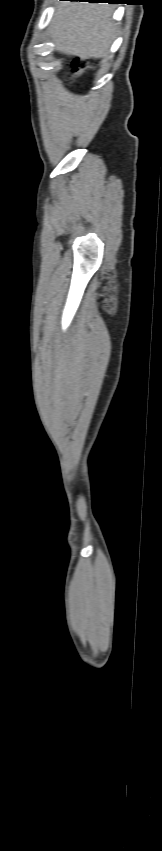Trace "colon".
<instances>
[{
    "label": "colon",
    "instance_id": "obj_1",
    "mask_svg": "<svg viewBox=\"0 0 162 851\" xmlns=\"http://www.w3.org/2000/svg\"><path fill=\"white\" fill-rule=\"evenodd\" d=\"M90 67L91 64L88 60L82 58H75L72 61V74L79 75Z\"/></svg>",
    "mask_w": 162,
    "mask_h": 851
}]
</instances>
